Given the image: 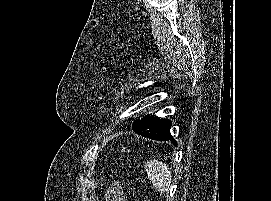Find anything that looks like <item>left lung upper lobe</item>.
I'll list each match as a JSON object with an SVG mask.
<instances>
[{"label": "left lung upper lobe", "instance_id": "1", "mask_svg": "<svg viewBox=\"0 0 271 201\" xmlns=\"http://www.w3.org/2000/svg\"><path fill=\"white\" fill-rule=\"evenodd\" d=\"M132 127L139 135L154 140H162L170 134L171 121L147 115L142 119L134 121Z\"/></svg>", "mask_w": 271, "mask_h": 201}]
</instances>
